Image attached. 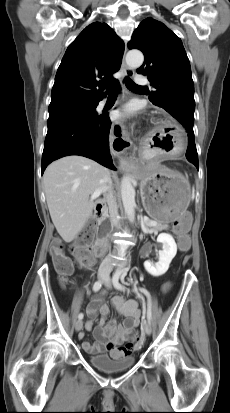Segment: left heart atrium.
Returning <instances> with one entry per match:
<instances>
[{
  "instance_id": "1",
  "label": "left heart atrium",
  "mask_w": 230,
  "mask_h": 413,
  "mask_svg": "<svg viewBox=\"0 0 230 413\" xmlns=\"http://www.w3.org/2000/svg\"><path fill=\"white\" fill-rule=\"evenodd\" d=\"M136 108L133 105L126 106L122 111L116 113L117 118H124L135 113Z\"/></svg>"
}]
</instances>
